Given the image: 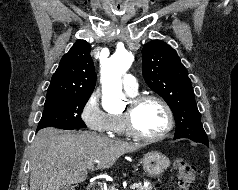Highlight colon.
<instances>
[{
	"label": "colon",
	"instance_id": "5ec220e1",
	"mask_svg": "<svg viewBox=\"0 0 238 190\" xmlns=\"http://www.w3.org/2000/svg\"><path fill=\"white\" fill-rule=\"evenodd\" d=\"M174 168L176 170L179 189L188 190L196 176L195 168L185 160H177Z\"/></svg>",
	"mask_w": 238,
	"mask_h": 190
}]
</instances>
